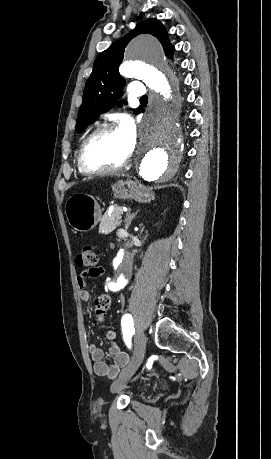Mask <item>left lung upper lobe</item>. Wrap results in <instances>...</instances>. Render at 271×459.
<instances>
[{"instance_id": "1", "label": "left lung upper lobe", "mask_w": 271, "mask_h": 459, "mask_svg": "<svg viewBox=\"0 0 271 459\" xmlns=\"http://www.w3.org/2000/svg\"><path fill=\"white\" fill-rule=\"evenodd\" d=\"M140 34L155 36L161 42L165 54L172 55L174 47L167 44V31L157 19H147L138 23L134 30L101 52L85 84L83 102L76 122L77 132L84 131L101 113L112 108L120 98L125 82L119 75L118 67L123 60L127 44ZM134 112L140 113V107Z\"/></svg>"}]
</instances>
